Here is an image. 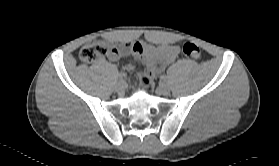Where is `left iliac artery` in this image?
<instances>
[{
  "label": "left iliac artery",
  "instance_id": "obj_1",
  "mask_svg": "<svg viewBox=\"0 0 279 166\" xmlns=\"http://www.w3.org/2000/svg\"><path fill=\"white\" fill-rule=\"evenodd\" d=\"M161 79H162L163 81H166V80H167V76H166V75H162V76H161Z\"/></svg>",
  "mask_w": 279,
  "mask_h": 166
}]
</instances>
